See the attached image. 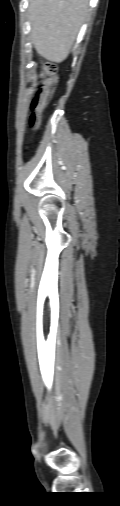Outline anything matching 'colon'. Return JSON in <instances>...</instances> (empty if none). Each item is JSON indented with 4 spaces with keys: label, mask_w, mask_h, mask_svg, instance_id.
Returning a JSON list of instances; mask_svg holds the SVG:
<instances>
[{
    "label": "colon",
    "mask_w": 120,
    "mask_h": 506,
    "mask_svg": "<svg viewBox=\"0 0 120 506\" xmlns=\"http://www.w3.org/2000/svg\"><path fill=\"white\" fill-rule=\"evenodd\" d=\"M43 75V81L30 108L28 126L32 130L39 129L44 109L54 92L58 80V76L52 67L43 68Z\"/></svg>",
    "instance_id": "5ec220e1"
}]
</instances>
